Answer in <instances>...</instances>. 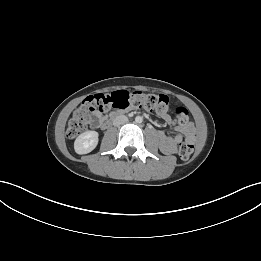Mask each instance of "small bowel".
<instances>
[{
    "label": "small bowel",
    "instance_id": "obj_1",
    "mask_svg": "<svg viewBox=\"0 0 261 261\" xmlns=\"http://www.w3.org/2000/svg\"><path fill=\"white\" fill-rule=\"evenodd\" d=\"M106 114L104 112H99L96 113L91 121L90 125L94 128L98 126L99 124L103 123L106 120ZM161 118L165 123H171V117L163 113L161 114ZM177 130L180 132L176 136H171L165 131H159L157 133L158 137V143H159V148L160 150L165 153V154H174L177 151V146L183 138L185 137L188 141H193L195 138V130L194 127L190 124L184 125V126H179L177 127Z\"/></svg>",
    "mask_w": 261,
    "mask_h": 261
}]
</instances>
